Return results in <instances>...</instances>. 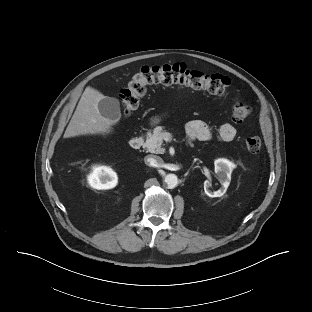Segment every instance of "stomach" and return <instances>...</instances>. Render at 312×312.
<instances>
[{"instance_id": "1", "label": "stomach", "mask_w": 312, "mask_h": 312, "mask_svg": "<svg viewBox=\"0 0 312 312\" xmlns=\"http://www.w3.org/2000/svg\"><path fill=\"white\" fill-rule=\"evenodd\" d=\"M153 124H158L161 122V116H156L152 120Z\"/></svg>"}]
</instances>
